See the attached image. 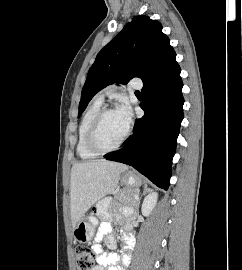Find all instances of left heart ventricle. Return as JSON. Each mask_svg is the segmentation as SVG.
<instances>
[{"instance_id":"1","label":"left heart ventricle","mask_w":242,"mask_h":270,"mask_svg":"<svg viewBox=\"0 0 242 270\" xmlns=\"http://www.w3.org/2000/svg\"><path fill=\"white\" fill-rule=\"evenodd\" d=\"M127 127L118 112L108 114L97 133V143L102 147H112L123 137Z\"/></svg>"}]
</instances>
